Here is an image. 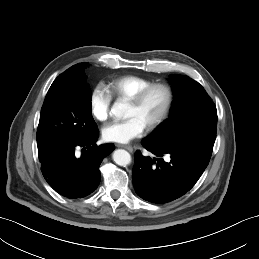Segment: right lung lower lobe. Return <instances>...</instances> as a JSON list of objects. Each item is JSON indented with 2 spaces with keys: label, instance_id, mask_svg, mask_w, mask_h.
<instances>
[{
  "label": "right lung lower lobe",
  "instance_id": "1",
  "mask_svg": "<svg viewBox=\"0 0 259 259\" xmlns=\"http://www.w3.org/2000/svg\"><path fill=\"white\" fill-rule=\"evenodd\" d=\"M98 129L71 147L54 150L39 156L41 171L48 184L59 194L77 199L91 194L98 187L102 160L114 149L112 143L97 146ZM82 146L80 157L75 155V147Z\"/></svg>",
  "mask_w": 259,
  "mask_h": 259
}]
</instances>
